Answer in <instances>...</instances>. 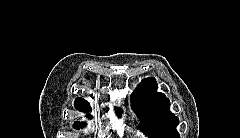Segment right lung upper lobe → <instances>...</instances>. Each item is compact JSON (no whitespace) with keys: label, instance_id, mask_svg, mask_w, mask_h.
Wrapping results in <instances>:
<instances>
[{"label":"right lung upper lobe","instance_id":"1","mask_svg":"<svg viewBox=\"0 0 240 138\" xmlns=\"http://www.w3.org/2000/svg\"><path fill=\"white\" fill-rule=\"evenodd\" d=\"M74 105H75L76 109H78L80 111H83V112H89L91 110L90 104L85 99H83L81 97L76 98V100L74 102ZM116 111H117L118 114H122V109L116 108ZM87 117L89 119H92L91 115H87ZM75 123L86 124L84 122H78V121H76Z\"/></svg>","mask_w":240,"mask_h":138}]
</instances>
